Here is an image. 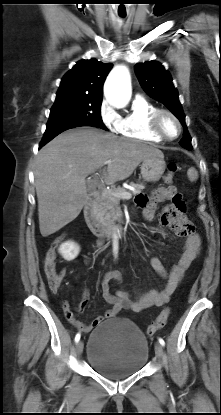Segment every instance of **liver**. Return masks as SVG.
Returning <instances> with one entry per match:
<instances>
[{
    "mask_svg": "<svg viewBox=\"0 0 221 415\" xmlns=\"http://www.w3.org/2000/svg\"><path fill=\"white\" fill-rule=\"evenodd\" d=\"M163 155L156 147L118 138L92 127L72 129L44 146L35 160L39 228L47 237L81 212L88 200L85 178L111 160L103 170L106 184L124 180L148 157Z\"/></svg>",
    "mask_w": 221,
    "mask_h": 415,
    "instance_id": "6515ba94",
    "label": "liver"
}]
</instances>
